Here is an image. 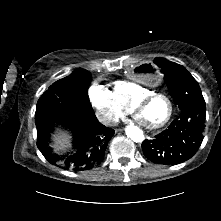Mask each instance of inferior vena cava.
I'll list each match as a JSON object with an SVG mask.
<instances>
[{"label":"inferior vena cava","instance_id":"602c4592","mask_svg":"<svg viewBox=\"0 0 221 221\" xmlns=\"http://www.w3.org/2000/svg\"><path fill=\"white\" fill-rule=\"evenodd\" d=\"M99 120L105 125H116L118 122L112 114H104L99 117Z\"/></svg>","mask_w":221,"mask_h":221}]
</instances>
